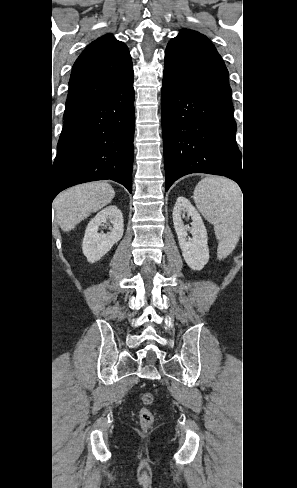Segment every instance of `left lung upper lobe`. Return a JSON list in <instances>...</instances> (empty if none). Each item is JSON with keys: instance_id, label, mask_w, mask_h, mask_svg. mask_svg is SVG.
<instances>
[{"instance_id": "1", "label": "left lung upper lobe", "mask_w": 297, "mask_h": 488, "mask_svg": "<svg viewBox=\"0 0 297 488\" xmlns=\"http://www.w3.org/2000/svg\"><path fill=\"white\" fill-rule=\"evenodd\" d=\"M165 72L197 93L234 111L228 70L211 41L182 29L165 50Z\"/></svg>"}]
</instances>
